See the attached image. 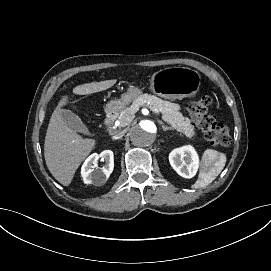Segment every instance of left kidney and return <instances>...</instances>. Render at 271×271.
<instances>
[{
	"label": "left kidney",
	"mask_w": 271,
	"mask_h": 271,
	"mask_svg": "<svg viewBox=\"0 0 271 271\" xmlns=\"http://www.w3.org/2000/svg\"><path fill=\"white\" fill-rule=\"evenodd\" d=\"M172 168L184 178L195 176L199 167V157L192 145H185L173 149L169 154Z\"/></svg>",
	"instance_id": "5707ae66"
}]
</instances>
